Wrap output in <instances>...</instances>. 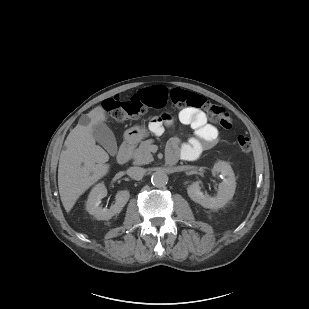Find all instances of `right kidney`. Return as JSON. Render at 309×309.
I'll list each match as a JSON object with an SVG mask.
<instances>
[{
	"label": "right kidney",
	"mask_w": 309,
	"mask_h": 309,
	"mask_svg": "<svg viewBox=\"0 0 309 309\" xmlns=\"http://www.w3.org/2000/svg\"><path fill=\"white\" fill-rule=\"evenodd\" d=\"M106 195L107 189L105 185L99 183L93 187L86 202V210L97 220H109L114 215L119 214L130 198L128 190L119 191L115 196V204L106 209L100 206L101 199Z\"/></svg>",
	"instance_id": "1"
}]
</instances>
